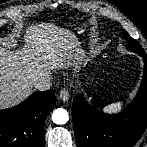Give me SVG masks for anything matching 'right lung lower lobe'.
<instances>
[{
	"label": "right lung lower lobe",
	"instance_id": "1",
	"mask_svg": "<svg viewBox=\"0 0 147 147\" xmlns=\"http://www.w3.org/2000/svg\"><path fill=\"white\" fill-rule=\"evenodd\" d=\"M55 90L33 93L21 104L0 110V147H43L44 123L55 105Z\"/></svg>",
	"mask_w": 147,
	"mask_h": 147
}]
</instances>
